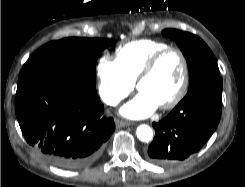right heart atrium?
I'll return each mask as SVG.
<instances>
[{"label": "right heart atrium", "instance_id": "obj_1", "mask_svg": "<svg viewBox=\"0 0 245 187\" xmlns=\"http://www.w3.org/2000/svg\"><path fill=\"white\" fill-rule=\"evenodd\" d=\"M97 93L101 101L110 107L118 105L133 90L119 65L109 56H102L96 64Z\"/></svg>", "mask_w": 245, "mask_h": 187}]
</instances>
